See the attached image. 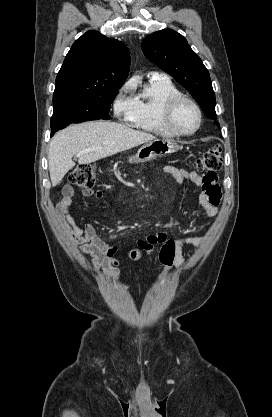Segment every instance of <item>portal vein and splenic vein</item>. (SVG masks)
<instances>
[{
    "instance_id": "obj_1",
    "label": "portal vein and splenic vein",
    "mask_w": 272,
    "mask_h": 417,
    "mask_svg": "<svg viewBox=\"0 0 272 417\" xmlns=\"http://www.w3.org/2000/svg\"><path fill=\"white\" fill-rule=\"evenodd\" d=\"M92 149H85V150H83V151H80V152H78V153H76V157H79L80 155H82V154H84V153H87V152H90Z\"/></svg>"
}]
</instances>
